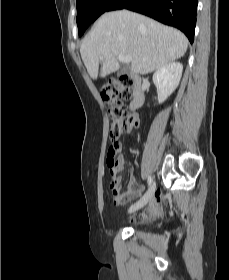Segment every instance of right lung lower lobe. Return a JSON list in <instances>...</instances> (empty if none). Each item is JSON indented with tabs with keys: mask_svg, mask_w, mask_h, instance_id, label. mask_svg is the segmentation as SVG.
Masks as SVG:
<instances>
[{
	"mask_svg": "<svg viewBox=\"0 0 229 280\" xmlns=\"http://www.w3.org/2000/svg\"><path fill=\"white\" fill-rule=\"evenodd\" d=\"M128 9L180 29L194 41L197 0H116L109 11Z\"/></svg>",
	"mask_w": 229,
	"mask_h": 280,
	"instance_id": "obj_1",
	"label": "right lung lower lobe"
}]
</instances>
